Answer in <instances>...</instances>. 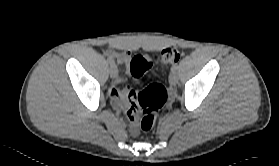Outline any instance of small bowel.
<instances>
[{
    "label": "small bowel",
    "instance_id": "small-bowel-1",
    "mask_svg": "<svg viewBox=\"0 0 279 166\" xmlns=\"http://www.w3.org/2000/svg\"><path fill=\"white\" fill-rule=\"evenodd\" d=\"M110 58H114L118 63L129 64L131 61L130 52H119L113 49L107 51ZM122 79L117 78L109 90V94L115 105L123 108L127 112V116L134 121L135 115L139 111L138 93L131 87L125 89L120 88ZM132 133L136 134V129L132 127Z\"/></svg>",
    "mask_w": 279,
    "mask_h": 166
}]
</instances>
